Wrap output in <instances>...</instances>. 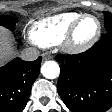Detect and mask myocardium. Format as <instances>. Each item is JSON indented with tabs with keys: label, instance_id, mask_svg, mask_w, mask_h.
I'll use <instances>...</instances> for the list:
<instances>
[{
	"label": "myocardium",
	"instance_id": "myocardium-1",
	"mask_svg": "<svg viewBox=\"0 0 112 112\" xmlns=\"http://www.w3.org/2000/svg\"><path fill=\"white\" fill-rule=\"evenodd\" d=\"M88 17L94 18L96 20L97 22L96 33L87 42L77 43L75 40V34L77 31V28L80 25V23L85 18H88ZM101 32H102V24L98 17L89 13L82 14L73 22V24L70 26L69 30L67 31L66 35L64 36L61 42L62 49L66 53L72 54V55L84 53L90 48H92L98 42L101 36Z\"/></svg>",
	"mask_w": 112,
	"mask_h": 112
}]
</instances>
